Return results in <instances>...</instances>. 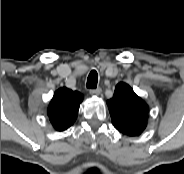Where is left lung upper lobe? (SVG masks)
<instances>
[{
	"mask_svg": "<svg viewBox=\"0 0 184 174\" xmlns=\"http://www.w3.org/2000/svg\"><path fill=\"white\" fill-rule=\"evenodd\" d=\"M107 105L114 127L122 134L138 136L146 128L148 106L128 84L118 83Z\"/></svg>",
	"mask_w": 184,
	"mask_h": 174,
	"instance_id": "1",
	"label": "left lung upper lobe"
}]
</instances>
